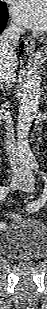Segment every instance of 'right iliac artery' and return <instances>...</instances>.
<instances>
[{"instance_id": "1", "label": "right iliac artery", "mask_w": 47, "mask_h": 309, "mask_svg": "<svg viewBox=\"0 0 47 309\" xmlns=\"http://www.w3.org/2000/svg\"><path fill=\"white\" fill-rule=\"evenodd\" d=\"M26 174H27V179L30 182H34V177L32 175V171H31L30 167H27ZM8 192H9L8 187H5V186L1 187V190H0V200H4L5 197L7 196ZM4 227H5L4 223H1L0 224V228H4Z\"/></svg>"}]
</instances>
